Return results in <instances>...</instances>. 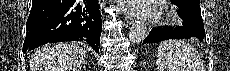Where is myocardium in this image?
<instances>
[{"label": "myocardium", "mask_w": 230, "mask_h": 71, "mask_svg": "<svg viewBox=\"0 0 230 71\" xmlns=\"http://www.w3.org/2000/svg\"><path fill=\"white\" fill-rule=\"evenodd\" d=\"M173 19H174V18H173L172 15H168V17H167V20H168V21H173Z\"/></svg>", "instance_id": "1"}]
</instances>
